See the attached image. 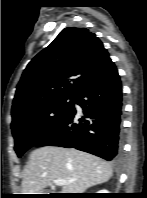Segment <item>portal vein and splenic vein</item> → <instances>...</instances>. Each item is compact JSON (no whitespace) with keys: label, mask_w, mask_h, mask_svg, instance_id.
<instances>
[{"label":"portal vein and splenic vein","mask_w":147,"mask_h":198,"mask_svg":"<svg viewBox=\"0 0 147 198\" xmlns=\"http://www.w3.org/2000/svg\"><path fill=\"white\" fill-rule=\"evenodd\" d=\"M67 183H68L67 181L62 180V179H56V180H54V184H55L56 186H63V185H65V184H67Z\"/></svg>","instance_id":"obj_1"}]
</instances>
